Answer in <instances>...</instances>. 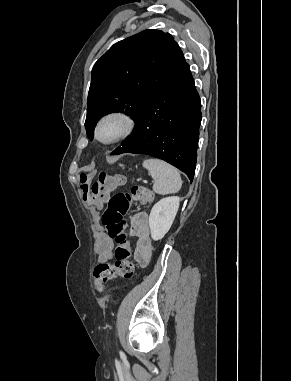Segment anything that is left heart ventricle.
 I'll use <instances>...</instances> for the list:
<instances>
[{
    "instance_id": "obj_1",
    "label": "left heart ventricle",
    "mask_w": 291,
    "mask_h": 381,
    "mask_svg": "<svg viewBox=\"0 0 291 381\" xmlns=\"http://www.w3.org/2000/svg\"><path fill=\"white\" fill-rule=\"evenodd\" d=\"M122 129V124L119 120L111 119L104 122L100 128L99 135L102 140H109L117 135Z\"/></svg>"
}]
</instances>
